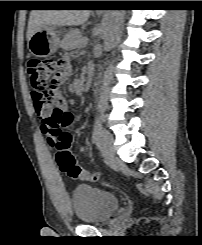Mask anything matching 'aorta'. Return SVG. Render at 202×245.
Returning <instances> with one entry per match:
<instances>
[{
  "instance_id": "1",
  "label": "aorta",
  "mask_w": 202,
  "mask_h": 245,
  "mask_svg": "<svg viewBox=\"0 0 202 245\" xmlns=\"http://www.w3.org/2000/svg\"><path fill=\"white\" fill-rule=\"evenodd\" d=\"M125 10H110L105 24L103 49L109 50L123 23Z\"/></svg>"
}]
</instances>
